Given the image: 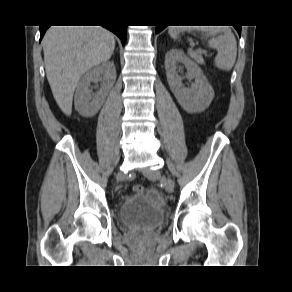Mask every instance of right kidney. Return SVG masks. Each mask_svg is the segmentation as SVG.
I'll return each mask as SVG.
<instances>
[{
  "instance_id": "right-kidney-1",
  "label": "right kidney",
  "mask_w": 292,
  "mask_h": 292,
  "mask_svg": "<svg viewBox=\"0 0 292 292\" xmlns=\"http://www.w3.org/2000/svg\"><path fill=\"white\" fill-rule=\"evenodd\" d=\"M103 77L101 87L95 94L89 89L91 82H97ZM116 81L114 62L108 61L88 70L77 85L74 97L75 108L84 117L94 116L103 105L108 92Z\"/></svg>"
}]
</instances>
